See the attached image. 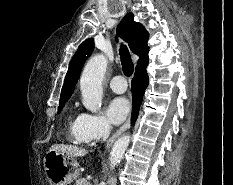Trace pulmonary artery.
I'll use <instances>...</instances> for the list:
<instances>
[{"label": "pulmonary artery", "mask_w": 233, "mask_h": 185, "mask_svg": "<svg viewBox=\"0 0 233 185\" xmlns=\"http://www.w3.org/2000/svg\"><path fill=\"white\" fill-rule=\"evenodd\" d=\"M110 88L116 93H123L127 89V84L122 76H114L109 82Z\"/></svg>", "instance_id": "pulmonary-artery-1"}]
</instances>
